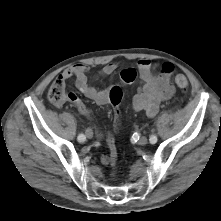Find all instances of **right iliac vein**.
<instances>
[{
  "label": "right iliac vein",
  "mask_w": 221,
  "mask_h": 221,
  "mask_svg": "<svg viewBox=\"0 0 221 221\" xmlns=\"http://www.w3.org/2000/svg\"><path fill=\"white\" fill-rule=\"evenodd\" d=\"M86 136L89 139L93 138V131L91 129H87L86 130Z\"/></svg>",
  "instance_id": "63e3f726"
}]
</instances>
